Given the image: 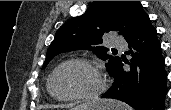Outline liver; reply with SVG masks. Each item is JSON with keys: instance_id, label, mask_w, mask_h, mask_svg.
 Listing matches in <instances>:
<instances>
[{"instance_id": "1", "label": "liver", "mask_w": 171, "mask_h": 110, "mask_svg": "<svg viewBox=\"0 0 171 110\" xmlns=\"http://www.w3.org/2000/svg\"><path fill=\"white\" fill-rule=\"evenodd\" d=\"M97 104L100 105L102 108H105L107 110H111L117 104L116 105L117 109L121 110V103H117L115 101H100ZM88 106H90V105L89 104H85V105H82L81 107H85L86 108Z\"/></svg>"}]
</instances>
